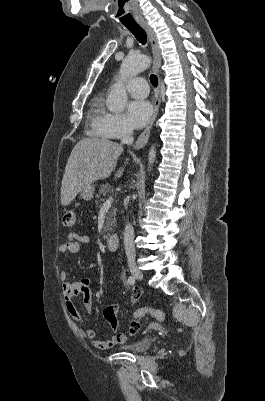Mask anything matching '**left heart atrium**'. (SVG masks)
Returning a JSON list of instances; mask_svg holds the SVG:
<instances>
[{
  "label": "left heart atrium",
  "instance_id": "1",
  "mask_svg": "<svg viewBox=\"0 0 265 401\" xmlns=\"http://www.w3.org/2000/svg\"><path fill=\"white\" fill-rule=\"evenodd\" d=\"M126 114L136 128L146 125L152 116V106L148 101H130L126 107Z\"/></svg>",
  "mask_w": 265,
  "mask_h": 401
}]
</instances>
